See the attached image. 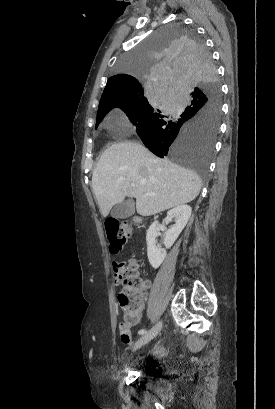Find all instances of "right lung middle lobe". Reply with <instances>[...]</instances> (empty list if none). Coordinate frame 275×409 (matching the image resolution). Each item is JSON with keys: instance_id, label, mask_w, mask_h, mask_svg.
<instances>
[{"instance_id": "right-lung-middle-lobe-1", "label": "right lung middle lobe", "mask_w": 275, "mask_h": 409, "mask_svg": "<svg viewBox=\"0 0 275 409\" xmlns=\"http://www.w3.org/2000/svg\"><path fill=\"white\" fill-rule=\"evenodd\" d=\"M138 49L118 57L112 72L133 73L148 91L164 92L118 101L97 113L95 128L120 107L152 153L191 167L206 182L221 114L220 84L206 41L192 24H165Z\"/></svg>"}]
</instances>
